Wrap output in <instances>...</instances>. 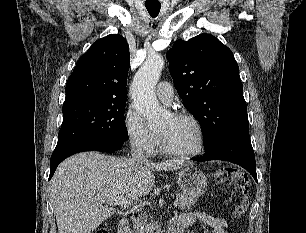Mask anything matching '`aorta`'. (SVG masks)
Here are the masks:
<instances>
[{
	"label": "aorta",
	"instance_id": "762f6f07",
	"mask_svg": "<svg viewBox=\"0 0 306 233\" xmlns=\"http://www.w3.org/2000/svg\"><path fill=\"white\" fill-rule=\"evenodd\" d=\"M164 59L159 54L148 56L137 71L131 89L137 111L147 120L150 128L163 123L166 113L159 107L154 88L164 67Z\"/></svg>",
	"mask_w": 306,
	"mask_h": 233
}]
</instances>
